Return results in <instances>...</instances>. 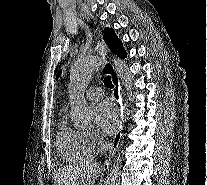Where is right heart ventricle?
Returning a JSON list of instances; mask_svg holds the SVG:
<instances>
[{
	"mask_svg": "<svg viewBox=\"0 0 207 185\" xmlns=\"http://www.w3.org/2000/svg\"><path fill=\"white\" fill-rule=\"evenodd\" d=\"M58 146L62 156L71 163L90 162L98 151V145L89 139L86 132L69 128L66 121L58 133Z\"/></svg>",
	"mask_w": 207,
	"mask_h": 185,
	"instance_id": "e07e8e85",
	"label": "right heart ventricle"
}]
</instances>
